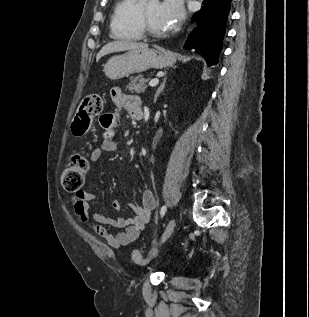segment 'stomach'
Wrapping results in <instances>:
<instances>
[{"mask_svg": "<svg viewBox=\"0 0 309 317\" xmlns=\"http://www.w3.org/2000/svg\"><path fill=\"white\" fill-rule=\"evenodd\" d=\"M175 62L176 59L172 53L160 47L140 48L112 56L104 66V73L111 80H119L151 68L163 69Z\"/></svg>", "mask_w": 309, "mask_h": 317, "instance_id": "1", "label": "stomach"}]
</instances>
